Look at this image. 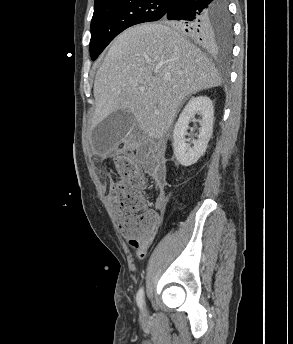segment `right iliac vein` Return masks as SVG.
<instances>
[{"label": "right iliac vein", "instance_id": "63e3f726", "mask_svg": "<svg viewBox=\"0 0 293 344\" xmlns=\"http://www.w3.org/2000/svg\"><path fill=\"white\" fill-rule=\"evenodd\" d=\"M142 317H143V318L146 317V310H142Z\"/></svg>", "mask_w": 293, "mask_h": 344}]
</instances>
